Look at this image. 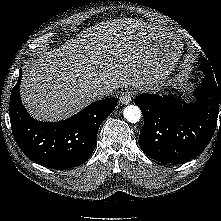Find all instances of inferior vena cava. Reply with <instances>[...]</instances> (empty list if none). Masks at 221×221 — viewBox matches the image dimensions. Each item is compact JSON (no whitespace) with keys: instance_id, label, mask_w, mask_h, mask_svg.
<instances>
[{"instance_id":"inferior-vena-cava-1","label":"inferior vena cava","mask_w":221,"mask_h":221,"mask_svg":"<svg viewBox=\"0 0 221 221\" xmlns=\"http://www.w3.org/2000/svg\"><path fill=\"white\" fill-rule=\"evenodd\" d=\"M110 95V91L103 88L95 89L91 92V97L94 99H102Z\"/></svg>"}]
</instances>
